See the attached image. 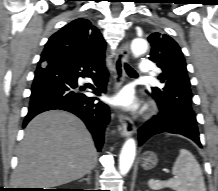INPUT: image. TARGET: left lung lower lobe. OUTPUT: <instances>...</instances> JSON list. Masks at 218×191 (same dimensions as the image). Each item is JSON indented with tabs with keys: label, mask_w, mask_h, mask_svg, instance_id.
<instances>
[{
	"label": "left lung lower lobe",
	"mask_w": 218,
	"mask_h": 191,
	"mask_svg": "<svg viewBox=\"0 0 218 191\" xmlns=\"http://www.w3.org/2000/svg\"><path fill=\"white\" fill-rule=\"evenodd\" d=\"M154 99L158 103L160 113L155 115L152 120L148 121L139 129L140 145L149 137L166 131L169 133L184 135L192 139L201 147L202 145L199 140L198 129L193 128L190 124V121L195 116L192 108L181 103L180 105H176V110L174 112L165 108V105L158 99Z\"/></svg>",
	"instance_id": "0a47b994"
}]
</instances>
